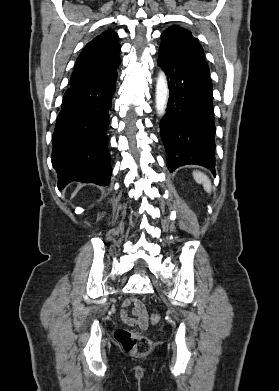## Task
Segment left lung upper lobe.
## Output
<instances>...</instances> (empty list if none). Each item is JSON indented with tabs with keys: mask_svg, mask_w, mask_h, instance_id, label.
I'll use <instances>...</instances> for the list:
<instances>
[{
	"mask_svg": "<svg viewBox=\"0 0 279 391\" xmlns=\"http://www.w3.org/2000/svg\"><path fill=\"white\" fill-rule=\"evenodd\" d=\"M161 41L159 49L164 53L210 76L203 48L190 31L179 26H170L162 33Z\"/></svg>",
	"mask_w": 279,
	"mask_h": 391,
	"instance_id": "1",
	"label": "left lung upper lobe"
}]
</instances>
